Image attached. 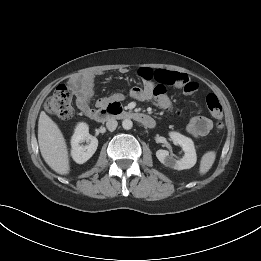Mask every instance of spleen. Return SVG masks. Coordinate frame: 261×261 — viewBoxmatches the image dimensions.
<instances>
[{
  "label": "spleen",
  "mask_w": 261,
  "mask_h": 261,
  "mask_svg": "<svg viewBox=\"0 0 261 261\" xmlns=\"http://www.w3.org/2000/svg\"><path fill=\"white\" fill-rule=\"evenodd\" d=\"M215 159H216L215 151H208L202 156L200 161V167H199L200 175L206 174L211 169Z\"/></svg>",
  "instance_id": "spleen-1"
}]
</instances>
